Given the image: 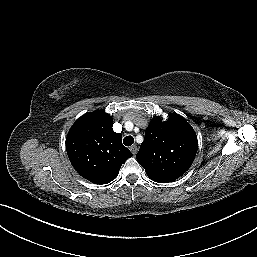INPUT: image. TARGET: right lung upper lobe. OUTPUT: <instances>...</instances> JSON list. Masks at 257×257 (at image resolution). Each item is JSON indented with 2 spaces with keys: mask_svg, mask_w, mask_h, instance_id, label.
<instances>
[{
  "mask_svg": "<svg viewBox=\"0 0 257 257\" xmlns=\"http://www.w3.org/2000/svg\"><path fill=\"white\" fill-rule=\"evenodd\" d=\"M113 119L104 111L81 116L66 138V150L74 169L95 184L114 180L121 165L133 154L112 129Z\"/></svg>",
  "mask_w": 257,
  "mask_h": 257,
  "instance_id": "right-lung-upper-lobe-1",
  "label": "right lung upper lobe"
}]
</instances>
